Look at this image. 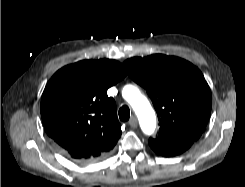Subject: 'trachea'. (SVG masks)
<instances>
[{
  "mask_svg": "<svg viewBox=\"0 0 245 187\" xmlns=\"http://www.w3.org/2000/svg\"><path fill=\"white\" fill-rule=\"evenodd\" d=\"M119 118L122 121H127L130 118V109L128 106L124 105L119 109Z\"/></svg>",
  "mask_w": 245,
  "mask_h": 187,
  "instance_id": "trachea-1",
  "label": "trachea"
}]
</instances>
